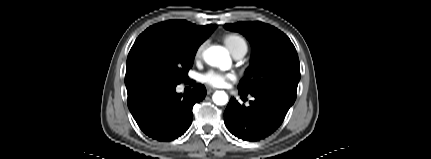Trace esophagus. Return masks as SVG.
Segmentation results:
<instances>
[{
    "instance_id": "1",
    "label": "esophagus",
    "mask_w": 431,
    "mask_h": 159,
    "mask_svg": "<svg viewBox=\"0 0 431 159\" xmlns=\"http://www.w3.org/2000/svg\"><path fill=\"white\" fill-rule=\"evenodd\" d=\"M214 91H215V89H214V88H208V89H207V93H208V94H210V93H212V92H214Z\"/></svg>"
}]
</instances>
